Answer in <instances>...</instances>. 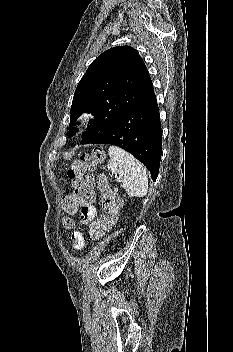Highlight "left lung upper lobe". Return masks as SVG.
Returning a JSON list of instances; mask_svg holds the SVG:
<instances>
[{
	"label": "left lung upper lobe",
	"mask_w": 233,
	"mask_h": 352,
	"mask_svg": "<svg viewBox=\"0 0 233 352\" xmlns=\"http://www.w3.org/2000/svg\"><path fill=\"white\" fill-rule=\"evenodd\" d=\"M154 92L148 70L137 50L117 46L106 50L89 66L75 90L69 137L80 114L88 112L95 121L83 133L81 144L104 134L125 112Z\"/></svg>",
	"instance_id": "obj_1"
}]
</instances>
